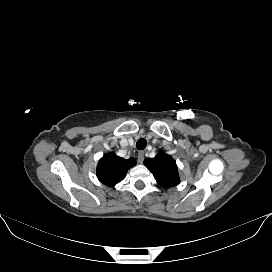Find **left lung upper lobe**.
<instances>
[{"instance_id":"left-lung-upper-lobe-1","label":"left lung upper lobe","mask_w":272,"mask_h":272,"mask_svg":"<svg viewBox=\"0 0 272 272\" xmlns=\"http://www.w3.org/2000/svg\"><path fill=\"white\" fill-rule=\"evenodd\" d=\"M144 165L161 186L169 188L180 183L177 165L170 155L159 152L155 158H146Z\"/></svg>"}]
</instances>
